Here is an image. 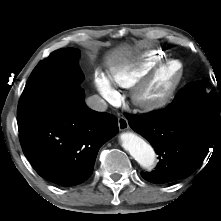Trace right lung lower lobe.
<instances>
[{"instance_id": "1", "label": "right lung lower lobe", "mask_w": 221, "mask_h": 221, "mask_svg": "<svg viewBox=\"0 0 221 221\" xmlns=\"http://www.w3.org/2000/svg\"><path fill=\"white\" fill-rule=\"evenodd\" d=\"M84 90L39 122L19 130L22 150L36 172L60 186H75L93 172L100 147L118 132V119L88 108Z\"/></svg>"}]
</instances>
